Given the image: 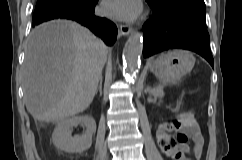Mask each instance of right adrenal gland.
Wrapping results in <instances>:
<instances>
[{
    "instance_id": "2a0ac1e0",
    "label": "right adrenal gland",
    "mask_w": 242,
    "mask_h": 160,
    "mask_svg": "<svg viewBox=\"0 0 242 160\" xmlns=\"http://www.w3.org/2000/svg\"><path fill=\"white\" fill-rule=\"evenodd\" d=\"M102 81H103V79H102V77L100 78V81H99V86H98V88H97V90H96V94H97V92L99 91L100 92V95H102Z\"/></svg>"
}]
</instances>
